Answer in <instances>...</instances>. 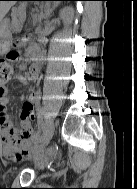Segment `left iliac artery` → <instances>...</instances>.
Instances as JSON below:
<instances>
[{
  "mask_svg": "<svg viewBox=\"0 0 137 189\" xmlns=\"http://www.w3.org/2000/svg\"><path fill=\"white\" fill-rule=\"evenodd\" d=\"M39 125H40V128H38V133H35V136H37L36 137L37 141H39L41 139L40 136H41V133H42V130H43V127H44L41 121H39Z\"/></svg>",
  "mask_w": 137,
  "mask_h": 189,
  "instance_id": "1",
  "label": "left iliac artery"
}]
</instances>
